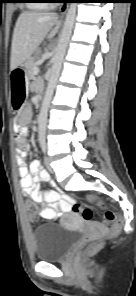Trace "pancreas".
Returning a JSON list of instances; mask_svg holds the SVG:
<instances>
[{"label":"pancreas","instance_id":"pancreas-1","mask_svg":"<svg viewBox=\"0 0 136 296\" xmlns=\"http://www.w3.org/2000/svg\"><path fill=\"white\" fill-rule=\"evenodd\" d=\"M41 51H37L33 57H30L26 62H25V69L26 73L29 77L34 76V67L36 66V60L40 57Z\"/></svg>","mask_w":136,"mask_h":296}]
</instances>
